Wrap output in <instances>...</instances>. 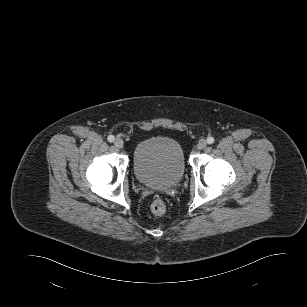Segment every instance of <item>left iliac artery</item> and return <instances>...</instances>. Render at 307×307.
<instances>
[{"mask_svg":"<svg viewBox=\"0 0 307 307\" xmlns=\"http://www.w3.org/2000/svg\"><path fill=\"white\" fill-rule=\"evenodd\" d=\"M206 141L208 144H212L214 143L215 139L213 137H208Z\"/></svg>","mask_w":307,"mask_h":307,"instance_id":"left-iliac-artery-1","label":"left iliac artery"}]
</instances>
